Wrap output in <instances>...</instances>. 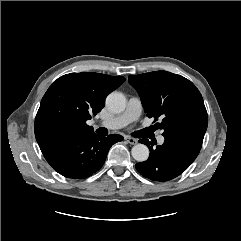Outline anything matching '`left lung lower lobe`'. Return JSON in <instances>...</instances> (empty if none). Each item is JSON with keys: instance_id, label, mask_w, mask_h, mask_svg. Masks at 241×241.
Here are the masks:
<instances>
[{"instance_id": "0a47b994", "label": "left lung lower lobe", "mask_w": 241, "mask_h": 241, "mask_svg": "<svg viewBox=\"0 0 241 241\" xmlns=\"http://www.w3.org/2000/svg\"><path fill=\"white\" fill-rule=\"evenodd\" d=\"M204 135L187 134L165 137L162 145L153 147L147 139L140 140L148 146V160L137 163L136 169L146 178L166 182L181 175L196 159L200 152Z\"/></svg>"}]
</instances>
